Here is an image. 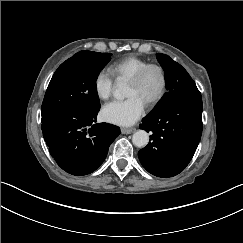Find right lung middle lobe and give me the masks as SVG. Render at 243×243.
I'll return each mask as SVG.
<instances>
[{"label":"right lung middle lobe","mask_w":243,"mask_h":243,"mask_svg":"<svg viewBox=\"0 0 243 243\" xmlns=\"http://www.w3.org/2000/svg\"><path fill=\"white\" fill-rule=\"evenodd\" d=\"M109 60V53L80 51L63 62L48 85L41 115L46 116L64 108L99 111L95 82Z\"/></svg>","instance_id":"right-lung-middle-lobe-1"}]
</instances>
